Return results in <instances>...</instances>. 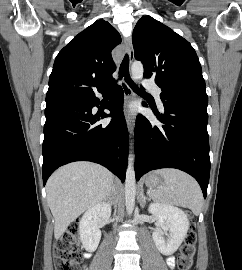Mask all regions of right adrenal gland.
Here are the masks:
<instances>
[{
	"instance_id": "1",
	"label": "right adrenal gland",
	"mask_w": 242,
	"mask_h": 270,
	"mask_svg": "<svg viewBox=\"0 0 242 270\" xmlns=\"http://www.w3.org/2000/svg\"><path fill=\"white\" fill-rule=\"evenodd\" d=\"M113 193V197H111V195H109L106 200H108L111 204L114 203V199H115V191L114 189L112 190Z\"/></svg>"
}]
</instances>
